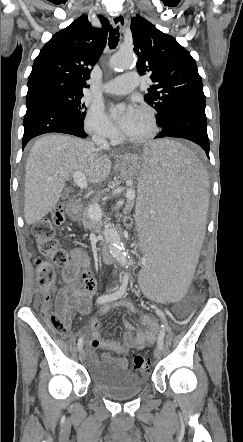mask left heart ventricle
<instances>
[{
  "label": "left heart ventricle",
  "mask_w": 243,
  "mask_h": 442,
  "mask_svg": "<svg viewBox=\"0 0 243 442\" xmlns=\"http://www.w3.org/2000/svg\"><path fill=\"white\" fill-rule=\"evenodd\" d=\"M151 129L152 125L149 115L139 110L129 128L124 131V135L130 138H140L149 134Z\"/></svg>",
  "instance_id": "b2bd125f"
}]
</instances>
